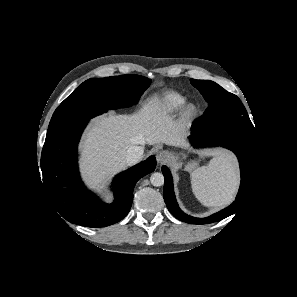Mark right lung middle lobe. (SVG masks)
<instances>
[{"mask_svg":"<svg viewBox=\"0 0 297 297\" xmlns=\"http://www.w3.org/2000/svg\"><path fill=\"white\" fill-rule=\"evenodd\" d=\"M150 83V79L134 74L88 79L57 107L45 141L109 109L137 103Z\"/></svg>","mask_w":297,"mask_h":297,"instance_id":"obj_1","label":"right lung middle lobe"}]
</instances>
